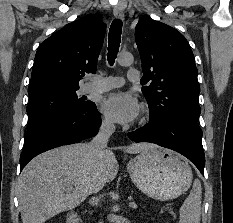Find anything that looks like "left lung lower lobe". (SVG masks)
Listing matches in <instances>:
<instances>
[{"label":"left lung lower lobe","mask_w":233,"mask_h":223,"mask_svg":"<svg viewBox=\"0 0 233 223\" xmlns=\"http://www.w3.org/2000/svg\"><path fill=\"white\" fill-rule=\"evenodd\" d=\"M128 137L135 142H152L172 149L187 157L204 174L202 130L197 121L179 119L149 122L144 127L128 133Z\"/></svg>","instance_id":"1"}]
</instances>
